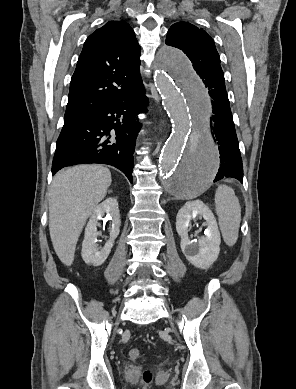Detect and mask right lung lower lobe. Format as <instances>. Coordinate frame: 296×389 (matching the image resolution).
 <instances>
[{
	"instance_id": "right-lung-lower-lobe-1",
	"label": "right lung lower lobe",
	"mask_w": 296,
	"mask_h": 389,
	"mask_svg": "<svg viewBox=\"0 0 296 389\" xmlns=\"http://www.w3.org/2000/svg\"><path fill=\"white\" fill-rule=\"evenodd\" d=\"M147 97L140 74L121 99L65 124L57 139L52 174L66 166L83 163L112 165L132 183L133 153L146 112Z\"/></svg>"
}]
</instances>
